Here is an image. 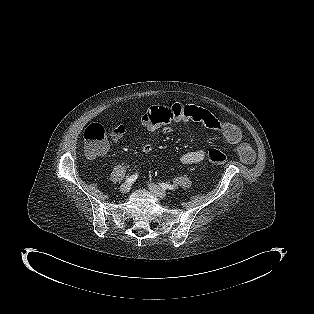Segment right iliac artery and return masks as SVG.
<instances>
[{"label": "right iliac artery", "mask_w": 314, "mask_h": 314, "mask_svg": "<svg viewBox=\"0 0 314 314\" xmlns=\"http://www.w3.org/2000/svg\"><path fill=\"white\" fill-rule=\"evenodd\" d=\"M137 177H138V174L136 173V174L130 176L129 178H127L125 181H126V183H133L137 179Z\"/></svg>", "instance_id": "obj_1"}]
</instances>
